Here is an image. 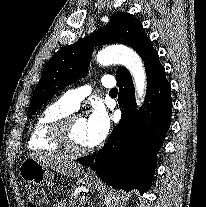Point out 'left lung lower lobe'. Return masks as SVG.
<instances>
[{
    "mask_svg": "<svg viewBox=\"0 0 206 207\" xmlns=\"http://www.w3.org/2000/svg\"><path fill=\"white\" fill-rule=\"evenodd\" d=\"M142 59L147 74L144 105L136 111L130 73L117 79L121 120L104 147L80 163L90 166L108 185L126 191L137 189L143 194L151 186L157 154L171 123L172 99L165 69L153 46Z\"/></svg>",
    "mask_w": 206,
    "mask_h": 207,
    "instance_id": "left-lung-lower-lobe-1",
    "label": "left lung lower lobe"
}]
</instances>
